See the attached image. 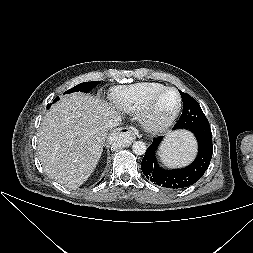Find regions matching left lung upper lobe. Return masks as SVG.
Instances as JSON below:
<instances>
[{"mask_svg": "<svg viewBox=\"0 0 253 253\" xmlns=\"http://www.w3.org/2000/svg\"><path fill=\"white\" fill-rule=\"evenodd\" d=\"M183 100V112L176 126L196 131L201 127H210L207 118L205 117L198 102L189 94L179 91Z\"/></svg>", "mask_w": 253, "mask_h": 253, "instance_id": "obj_1", "label": "left lung upper lobe"}]
</instances>
